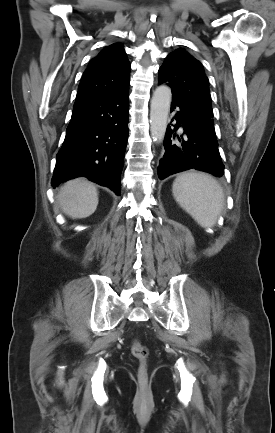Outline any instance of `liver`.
<instances>
[{"mask_svg": "<svg viewBox=\"0 0 275 433\" xmlns=\"http://www.w3.org/2000/svg\"><path fill=\"white\" fill-rule=\"evenodd\" d=\"M57 201L67 216L73 219L87 218L97 208V188L85 179H73L61 187Z\"/></svg>", "mask_w": 275, "mask_h": 433, "instance_id": "1", "label": "liver"}]
</instances>
